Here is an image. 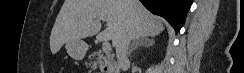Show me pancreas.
I'll list each match as a JSON object with an SVG mask.
<instances>
[{"label":"pancreas","mask_w":244,"mask_h":73,"mask_svg":"<svg viewBox=\"0 0 244 73\" xmlns=\"http://www.w3.org/2000/svg\"><path fill=\"white\" fill-rule=\"evenodd\" d=\"M89 59L90 61L87 63L88 65L96 66L99 64L102 66L104 63H107L109 66L113 67L114 70L117 69V64L110 52L104 53L102 50H98L97 52L91 54Z\"/></svg>","instance_id":"pancreas-1"}]
</instances>
